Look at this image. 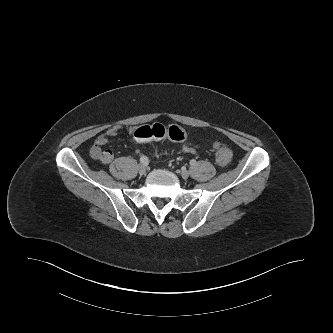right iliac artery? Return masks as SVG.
Returning a JSON list of instances; mask_svg holds the SVG:
<instances>
[{"instance_id": "1", "label": "right iliac artery", "mask_w": 333, "mask_h": 333, "mask_svg": "<svg viewBox=\"0 0 333 333\" xmlns=\"http://www.w3.org/2000/svg\"><path fill=\"white\" fill-rule=\"evenodd\" d=\"M140 162L143 163V164H148L149 159H148V157H146V156H141V158H140Z\"/></svg>"}]
</instances>
